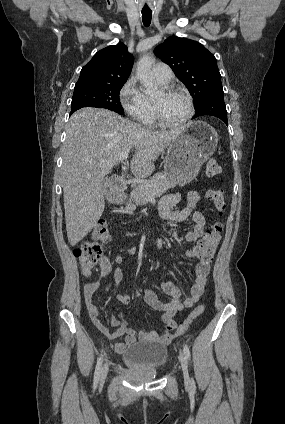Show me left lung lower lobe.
Listing matches in <instances>:
<instances>
[{
  "instance_id": "1",
  "label": "left lung lower lobe",
  "mask_w": 285,
  "mask_h": 424,
  "mask_svg": "<svg viewBox=\"0 0 285 424\" xmlns=\"http://www.w3.org/2000/svg\"><path fill=\"white\" fill-rule=\"evenodd\" d=\"M211 115L220 118L226 125H228L227 121V111L224 103V98L218 97L213 98L206 103H204L200 108L196 110V114L193 118Z\"/></svg>"
}]
</instances>
